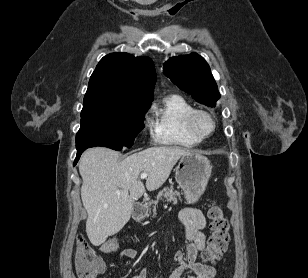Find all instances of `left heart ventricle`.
Here are the masks:
<instances>
[{
  "label": "left heart ventricle",
  "instance_id": "obj_1",
  "mask_svg": "<svg viewBox=\"0 0 308 278\" xmlns=\"http://www.w3.org/2000/svg\"><path fill=\"white\" fill-rule=\"evenodd\" d=\"M195 125L197 130L202 134L208 133L212 128L210 120L205 116H198Z\"/></svg>",
  "mask_w": 308,
  "mask_h": 278
}]
</instances>
